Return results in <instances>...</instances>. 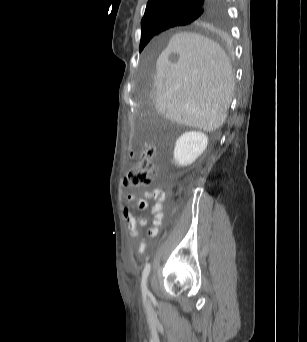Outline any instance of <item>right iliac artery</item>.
Wrapping results in <instances>:
<instances>
[{
  "mask_svg": "<svg viewBox=\"0 0 307 342\" xmlns=\"http://www.w3.org/2000/svg\"><path fill=\"white\" fill-rule=\"evenodd\" d=\"M150 272V264H146L143 273H142V283H141V287H142V293H143V297L144 299H146V295L148 293V289H147V277L149 275Z\"/></svg>",
  "mask_w": 307,
  "mask_h": 342,
  "instance_id": "right-iliac-artery-1",
  "label": "right iliac artery"
}]
</instances>
